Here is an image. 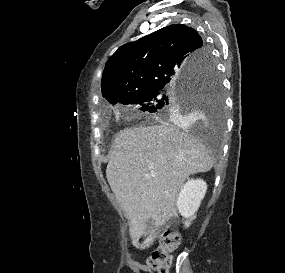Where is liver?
Wrapping results in <instances>:
<instances>
[{
  "instance_id": "obj_1",
  "label": "liver",
  "mask_w": 285,
  "mask_h": 273,
  "mask_svg": "<svg viewBox=\"0 0 285 273\" xmlns=\"http://www.w3.org/2000/svg\"><path fill=\"white\" fill-rule=\"evenodd\" d=\"M183 127V120L174 121ZM214 160L197 139L169 123L121 131L114 140L106 177L129 219L132 244L149 248L160 226L177 215L176 201L184 181L208 172ZM153 220L147 229L146 220ZM147 237L142 244L140 237Z\"/></svg>"
}]
</instances>
